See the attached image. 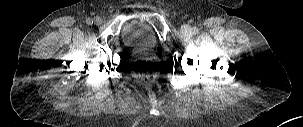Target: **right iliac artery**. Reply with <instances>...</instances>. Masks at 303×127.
Segmentation results:
<instances>
[{"instance_id":"1","label":"right iliac artery","mask_w":303,"mask_h":127,"mask_svg":"<svg viewBox=\"0 0 303 127\" xmlns=\"http://www.w3.org/2000/svg\"><path fill=\"white\" fill-rule=\"evenodd\" d=\"M86 23L89 24V25H91V24L93 23V20H92L91 18H88V19L86 20Z\"/></svg>"}]
</instances>
